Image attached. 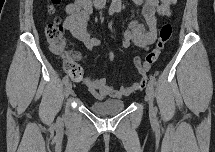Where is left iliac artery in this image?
I'll return each mask as SVG.
<instances>
[{"label":"left iliac artery","mask_w":215,"mask_h":152,"mask_svg":"<svg viewBox=\"0 0 215 152\" xmlns=\"http://www.w3.org/2000/svg\"><path fill=\"white\" fill-rule=\"evenodd\" d=\"M119 11H120V9H117V12H119ZM149 80H150V83H151L152 85H155V84H156V79H155L154 76L150 75V76H149Z\"/></svg>","instance_id":"44dca946"}]
</instances>
